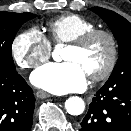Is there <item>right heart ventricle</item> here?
I'll list each match as a JSON object with an SVG mask.
<instances>
[{"label": "right heart ventricle", "mask_w": 131, "mask_h": 131, "mask_svg": "<svg viewBox=\"0 0 131 131\" xmlns=\"http://www.w3.org/2000/svg\"><path fill=\"white\" fill-rule=\"evenodd\" d=\"M51 40L56 43H69L80 35L96 28L94 22L77 15H62L51 20L48 25Z\"/></svg>", "instance_id": "1"}]
</instances>
